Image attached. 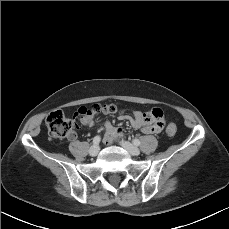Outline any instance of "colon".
<instances>
[{
  "label": "colon",
  "instance_id": "colon-1",
  "mask_svg": "<svg viewBox=\"0 0 229 229\" xmlns=\"http://www.w3.org/2000/svg\"><path fill=\"white\" fill-rule=\"evenodd\" d=\"M117 111V106L114 104L100 105L93 104L90 107H82L78 114L83 116L90 113L113 114ZM144 121L147 124H154V129H159L164 123V113L160 108L152 109L144 115ZM46 126L49 135L54 139H63L67 137L73 130V123L66 118L61 110L52 111L46 118ZM176 126L169 124L166 128V133L172 136L176 133Z\"/></svg>",
  "mask_w": 229,
  "mask_h": 229
}]
</instances>
